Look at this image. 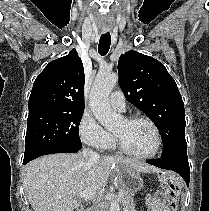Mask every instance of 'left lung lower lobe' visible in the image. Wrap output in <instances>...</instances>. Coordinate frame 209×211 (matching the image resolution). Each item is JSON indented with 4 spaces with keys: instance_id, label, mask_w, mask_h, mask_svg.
<instances>
[{
    "instance_id": "left-lung-lower-lobe-1",
    "label": "left lung lower lobe",
    "mask_w": 209,
    "mask_h": 211,
    "mask_svg": "<svg viewBox=\"0 0 209 211\" xmlns=\"http://www.w3.org/2000/svg\"><path fill=\"white\" fill-rule=\"evenodd\" d=\"M147 162L159 168L177 172L183 177L187 186H189L190 168L186 150H181L168 157H161Z\"/></svg>"
}]
</instances>
